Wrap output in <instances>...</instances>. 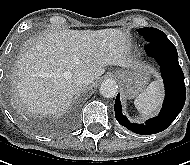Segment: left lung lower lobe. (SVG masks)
Segmentation results:
<instances>
[{"instance_id": "left-lung-lower-lobe-1", "label": "left lung lower lobe", "mask_w": 190, "mask_h": 165, "mask_svg": "<svg viewBox=\"0 0 190 165\" xmlns=\"http://www.w3.org/2000/svg\"><path fill=\"white\" fill-rule=\"evenodd\" d=\"M145 51L160 65L165 85V100L159 115L147 120L145 124L130 123L122 113L119 94L114 107L119 124L141 135L155 134L168 128L181 112L186 98L184 74L178 62L177 50L172 42L164 37L147 44Z\"/></svg>"}]
</instances>
